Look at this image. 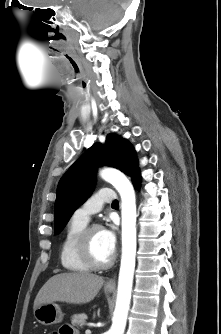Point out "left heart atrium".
<instances>
[{"mask_svg":"<svg viewBox=\"0 0 221 334\" xmlns=\"http://www.w3.org/2000/svg\"><path fill=\"white\" fill-rule=\"evenodd\" d=\"M103 232V237L105 240L106 245L112 250L114 251L116 248V233L113 227H108L105 229H102Z\"/></svg>","mask_w":221,"mask_h":334,"instance_id":"obj_1","label":"left heart atrium"}]
</instances>
